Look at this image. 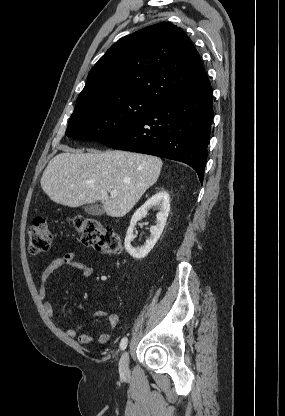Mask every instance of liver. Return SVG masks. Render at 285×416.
I'll return each instance as SVG.
<instances>
[{"label":"liver","mask_w":285,"mask_h":416,"mask_svg":"<svg viewBox=\"0 0 285 416\" xmlns=\"http://www.w3.org/2000/svg\"><path fill=\"white\" fill-rule=\"evenodd\" d=\"M63 154L50 160L41 178V188L50 200L69 208L101 202L112 218H123L157 182L162 160L156 156L120 150H72L59 146ZM117 190L110 198L108 192Z\"/></svg>","instance_id":"obj_1"}]
</instances>
